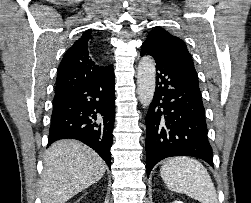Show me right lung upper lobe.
Segmentation results:
<instances>
[{"instance_id": "obj_1", "label": "right lung upper lobe", "mask_w": 251, "mask_h": 203, "mask_svg": "<svg viewBox=\"0 0 251 203\" xmlns=\"http://www.w3.org/2000/svg\"><path fill=\"white\" fill-rule=\"evenodd\" d=\"M91 30L83 33L65 53L58 69L54 99H59L82 84L109 72L111 66H99L88 50Z\"/></svg>"}]
</instances>
